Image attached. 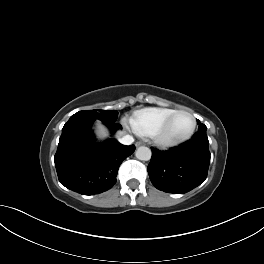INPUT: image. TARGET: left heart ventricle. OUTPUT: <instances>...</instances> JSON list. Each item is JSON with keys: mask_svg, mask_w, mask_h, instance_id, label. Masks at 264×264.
<instances>
[{"mask_svg": "<svg viewBox=\"0 0 264 264\" xmlns=\"http://www.w3.org/2000/svg\"><path fill=\"white\" fill-rule=\"evenodd\" d=\"M192 126V120L187 114L177 115L171 122L166 136L168 138H177L189 132Z\"/></svg>", "mask_w": 264, "mask_h": 264, "instance_id": "left-heart-ventricle-1", "label": "left heart ventricle"}]
</instances>
